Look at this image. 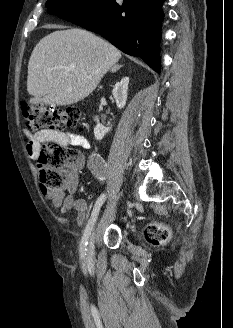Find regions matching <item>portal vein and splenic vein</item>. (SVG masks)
<instances>
[{
    "mask_svg": "<svg viewBox=\"0 0 233 328\" xmlns=\"http://www.w3.org/2000/svg\"><path fill=\"white\" fill-rule=\"evenodd\" d=\"M75 68V66H72L71 69L73 70Z\"/></svg>",
    "mask_w": 233,
    "mask_h": 328,
    "instance_id": "1",
    "label": "portal vein and splenic vein"
}]
</instances>
